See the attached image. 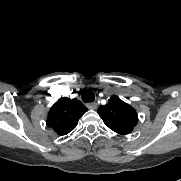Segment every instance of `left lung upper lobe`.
Wrapping results in <instances>:
<instances>
[{"label": "left lung upper lobe", "instance_id": "left-lung-upper-lobe-1", "mask_svg": "<svg viewBox=\"0 0 181 181\" xmlns=\"http://www.w3.org/2000/svg\"><path fill=\"white\" fill-rule=\"evenodd\" d=\"M98 114L106 126L119 134L131 133L138 122L135 109L117 96H112L106 105H101Z\"/></svg>", "mask_w": 181, "mask_h": 181}]
</instances>
